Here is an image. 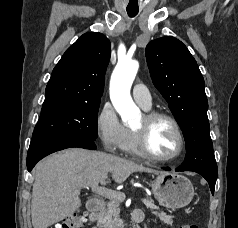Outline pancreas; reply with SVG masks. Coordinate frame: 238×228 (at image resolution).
Segmentation results:
<instances>
[{
    "label": "pancreas",
    "mask_w": 238,
    "mask_h": 228,
    "mask_svg": "<svg viewBox=\"0 0 238 228\" xmlns=\"http://www.w3.org/2000/svg\"><path fill=\"white\" fill-rule=\"evenodd\" d=\"M153 203L151 198H148ZM123 200H111L107 204V208L104 210L100 225L103 228H123L124 221L120 219V204ZM152 214L160 219L165 224L172 225L174 222L173 216L166 215L164 212L152 211Z\"/></svg>",
    "instance_id": "1"
}]
</instances>
